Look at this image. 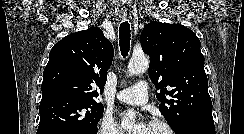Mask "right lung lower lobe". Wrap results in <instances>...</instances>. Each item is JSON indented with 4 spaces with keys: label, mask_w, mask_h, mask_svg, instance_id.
<instances>
[{
    "label": "right lung lower lobe",
    "mask_w": 244,
    "mask_h": 134,
    "mask_svg": "<svg viewBox=\"0 0 244 134\" xmlns=\"http://www.w3.org/2000/svg\"><path fill=\"white\" fill-rule=\"evenodd\" d=\"M51 134H90V133H84V132H79V131H75V130H58Z\"/></svg>",
    "instance_id": "98d812e1"
}]
</instances>
